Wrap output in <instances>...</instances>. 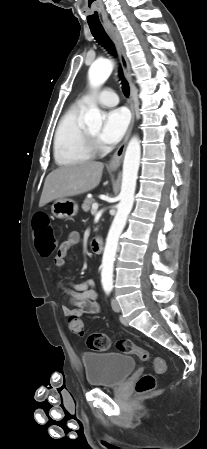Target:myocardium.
<instances>
[{
	"label": "myocardium",
	"instance_id": "f54148a6",
	"mask_svg": "<svg viewBox=\"0 0 207 449\" xmlns=\"http://www.w3.org/2000/svg\"><path fill=\"white\" fill-rule=\"evenodd\" d=\"M84 143L87 149L92 153H97L102 149L98 138L92 136L87 129L83 128Z\"/></svg>",
	"mask_w": 207,
	"mask_h": 449
}]
</instances>
